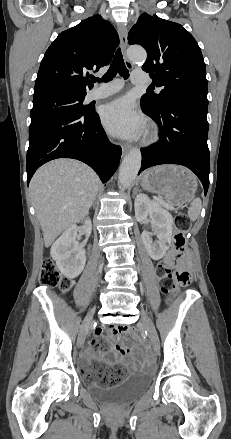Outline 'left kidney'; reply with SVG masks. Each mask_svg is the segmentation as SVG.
<instances>
[{
	"label": "left kidney",
	"instance_id": "left-kidney-1",
	"mask_svg": "<svg viewBox=\"0 0 231 439\" xmlns=\"http://www.w3.org/2000/svg\"><path fill=\"white\" fill-rule=\"evenodd\" d=\"M136 220L141 222L148 216L151 219L153 233L143 231V244L153 260H160L169 249L172 239L173 218L171 214L160 207L159 203L150 200L145 194H138L134 202ZM157 240L153 241L152 236Z\"/></svg>",
	"mask_w": 231,
	"mask_h": 439
}]
</instances>
